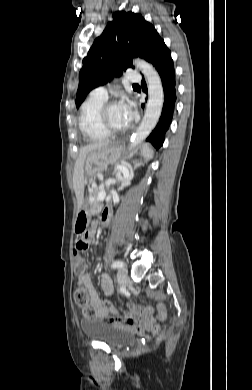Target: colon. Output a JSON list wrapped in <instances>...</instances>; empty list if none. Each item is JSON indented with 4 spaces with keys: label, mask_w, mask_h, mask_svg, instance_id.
Masks as SVG:
<instances>
[{
    "label": "colon",
    "mask_w": 252,
    "mask_h": 390,
    "mask_svg": "<svg viewBox=\"0 0 252 390\" xmlns=\"http://www.w3.org/2000/svg\"><path fill=\"white\" fill-rule=\"evenodd\" d=\"M77 231L82 234V237L78 240L76 244V250L74 252V273L76 275H82L86 268V262L83 252L88 246V237L87 231H85V222H81L80 226L77 227ZM73 299L77 306L83 309L84 315L87 318H92L95 316L94 308L89 304V294L87 289L84 286H78L73 293ZM108 306H111L110 303L106 302ZM111 323L120 325L124 322V316L120 314L117 310H113L112 316L109 318ZM157 332V329L155 330ZM164 333L161 332L158 334V338L161 339Z\"/></svg>",
    "instance_id": "1"
}]
</instances>
